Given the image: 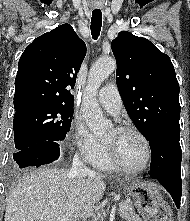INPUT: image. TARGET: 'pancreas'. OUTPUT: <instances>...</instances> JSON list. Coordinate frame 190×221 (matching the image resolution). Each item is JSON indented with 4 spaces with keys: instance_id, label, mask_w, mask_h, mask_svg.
Here are the masks:
<instances>
[{
    "instance_id": "cf45deb5",
    "label": "pancreas",
    "mask_w": 190,
    "mask_h": 221,
    "mask_svg": "<svg viewBox=\"0 0 190 221\" xmlns=\"http://www.w3.org/2000/svg\"><path fill=\"white\" fill-rule=\"evenodd\" d=\"M124 207L119 209V214L122 218L128 221H142L140 216L134 212L132 203L125 201ZM98 220V217H95V221Z\"/></svg>"
}]
</instances>
